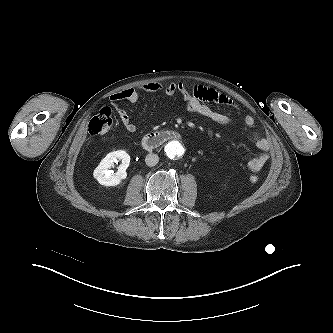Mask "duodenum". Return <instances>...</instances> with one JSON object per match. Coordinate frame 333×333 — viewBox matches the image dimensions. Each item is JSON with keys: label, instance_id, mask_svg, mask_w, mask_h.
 <instances>
[{"label": "duodenum", "instance_id": "duodenum-1", "mask_svg": "<svg viewBox=\"0 0 333 333\" xmlns=\"http://www.w3.org/2000/svg\"><path fill=\"white\" fill-rule=\"evenodd\" d=\"M179 134L173 130H164L146 134L142 138V146L147 150H152L168 140L178 138Z\"/></svg>", "mask_w": 333, "mask_h": 333}]
</instances>
